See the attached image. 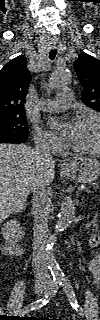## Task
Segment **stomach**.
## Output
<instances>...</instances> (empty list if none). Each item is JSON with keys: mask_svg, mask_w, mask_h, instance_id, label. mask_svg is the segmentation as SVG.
<instances>
[{"mask_svg": "<svg viewBox=\"0 0 100 320\" xmlns=\"http://www.w3.org/2000/svg\"><path fill=\"white\" fill-rule=\"evenodd\" d=\"M64 173L78 183H90L100 176V162L92 157H79L64 168Z\"/></svg>", "mask_w": 100, "mask_h": 320, "instance_id": "stomach-1", "label": "stomach"}]
</instances>
